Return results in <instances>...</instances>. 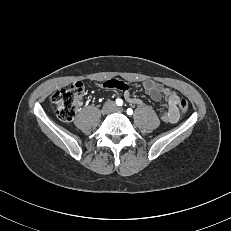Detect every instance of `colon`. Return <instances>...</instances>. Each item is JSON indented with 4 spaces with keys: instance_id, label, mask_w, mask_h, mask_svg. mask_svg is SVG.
<instances>
[{
    "instance_id": "1",
    "label": "colon",
    "mask_w": 231,
    "mask_h": 231,
    "mask_svg": "<svg viewBox=\"0 0 231 231\" xmlns=\"http://www.w3.org/2000/svg\"><path fill=\"white\" fill-rule=\"evenodd\" d=\"M84 92L85 89L83 84L76 82L53 94L52 103L61 121L69 122L74 118L79 106L82 104ZM178 107L181 112H186L189 108V103L186 99H181L178 103Z\"/></svg>"
}]
</instances>
